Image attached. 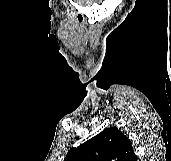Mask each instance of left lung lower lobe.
Here are the masks:
<instances>
[{
  "label": "left lung lower lobe",
  "mask_w": 171,
  "mask_h": 161,
  "mask_svg": "<svg viewBox=\"0 0 171 161\" xmlns=\"http://www.w3.org/2000/svg\"><path fill=\"white\" fill-rule=\"evenodd\" d=\"M131 161H137V157H136V155L132 158V160Z\"/></svg>",
  "instance_id": "left-lung-lower-lobe-1"
}]
</instances>
